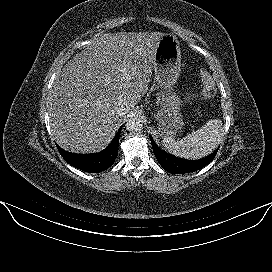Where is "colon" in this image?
<instances>
[{
    "label": "colon",
    "instance_id": "obj_1",
    "mask_svg": "<svg viewBox=\"0 0 272 272\" xmlns=\"http://www.w3.org/2000/svg\"><path fill=\"white\" fill-rule=\"evenodd\" d=\"M203 87L199 93L187 94L182 97V104H189L197 100L207 99L215 94V84L208 72H201Z\"/></svg>",
    "mask_w": 272,
    "mask_h": 272
}]
</instances>
